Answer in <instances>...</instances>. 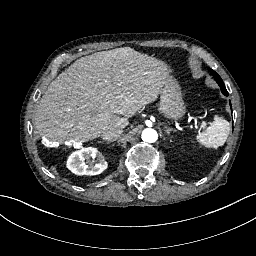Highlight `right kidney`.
Segmentation results:
<instances>
[{
  "instance_id": "obj_1",
  "label": "right kidney",
  "mask_w": 256,
  "mask_h": 256,
  "mask_svg": "<svg viewBox=\"0 0 256 256\" xmlns=\"http://www.w3.org/2000/svg\"><path fill=\"white\" fill-rule=\"evenodd\" d=\"M96 158L98 163L94 164ZM67 166L77 175H97L107 168V163L98 149L84 148L71 154Z\"/></svg>"
}]
</instances>
